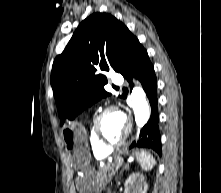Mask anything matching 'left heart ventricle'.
Listing matches in <instances>:
<instances>
[{"label": "left heart ventricle", "instance_id": "1", "mask_svg": "<svg viewBox=\"0 0 221 193\" xmlns=\"http://www.w3.org/2000/svg\"><path fill=\"white\" fill-rule=\"evenodd\" d=\"M100 130L104 138L115 142L122 137L126 130V120L117 111L107 113L100 124Z\"/></svg>", "mask_w": 221, "mask_h": 193}]
</instances>
